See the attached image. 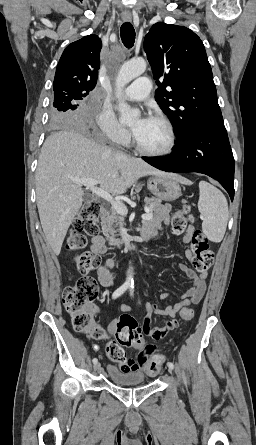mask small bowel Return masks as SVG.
Returning a JSON list of instances; mask_svg holds the SVG:
<instances>
[{"label": "small bowel", "instance_id": "1", "mask_svg": "<svg viewBox=\"0 0 256 445\" xmlns=\"http://www.w3.org/2000/svg\"><path fill=\"white\" fill-rule=\"evenodd\" d=\"M169 211V205L165 204L159 208L156 212L154 218L143 228L142 235L146 237H153L158 234L164 223L167 222V215ZM193 234V229H189L188 232L182 238L184 243H188L191 240ZM90 251L94 255H103L107 253L108 248L105 239L102 235L96 234L92 237V243ZM186 256L191 259L192 253L190 251L186 252ZM115 266V261L113 258H106L104 263L96 269L98 276V281L101 286L108 288L113 285L114 274L112 269ZM179 270L185 274L188 278L192 280V285L190 288L186 289L181 297V299L172 304L163 306L158 303H149L147 305V310L149 314L164 315L171 318V320L166 321L162 326L151 325V318L147 316L143 321V333L146 336L151 337L154 341L163 338L168 332L175 330L179 327L178 322L174 319L176 315L185 308L186 305L190 303H198L204 296L206 292V273H196L194 270L189 268L185 264L179 265ZM169 297L168 293H162L160 299L164 300ZM93 308V307H92ZM122 310L129 311L130 307L127 305L122 306ZM117 320H113L108 326V332L113 334L116 331ZM157 346L155 343L147 344L144 346L142 352L138 355L136 359L126 358L124 362L119 363L118 367L124 371H142L148 361V355L156 350ZM95 351H100V347L95 345L93 347ZM107 354V352H106ZM108 356V354H107ZM109 357V356H108Z\"/></svg>", "mask_w": 256, "mask_h": 445}]
</instances>
